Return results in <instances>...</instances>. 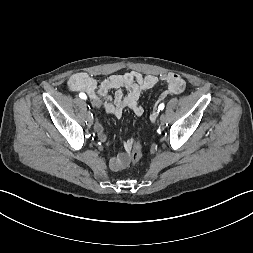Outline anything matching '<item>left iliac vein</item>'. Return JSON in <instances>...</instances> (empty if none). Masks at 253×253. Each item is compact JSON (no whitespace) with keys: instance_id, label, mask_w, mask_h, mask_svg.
Wrapping results in <instances>:
<instances>
[{"instance_id":"obj_1","label":"left iliac vein","mask_w":253,"mask_h":253,"mask_svg":"<svg viewBox=\"0 0 253 253\" xmlns=\"http://www.w3.org/2000/svg\"><path fill=\"white\" fill-rule=\"evenodd\" d=\"M166 121H167L166 115L162 114V115L160 116V122H161V123H165Z\"/></svg>"}]
</instances>
